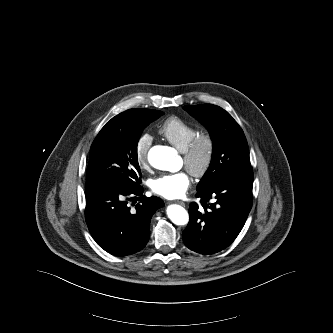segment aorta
I'll return each instance as SVG.
<instances>
[{
	"mask_svg": "<svg viewBox=\"0 0 333 333\" xmlns=\"http://www.w3.org/2000/svg\"><path fill=\"white\" fill-rule=\"evenodd\" d=\"M148 161L151 166L159 170L175 171L178 167L176 151L167 146L152 147L148 153ZM167 216L176 225H186L189 221L188 212L176 204L167 207Z\"/></svg>",
	"mask_w": 333,
	"mask_h": 333,
	"instance_id": "aorta-1",
	"label": "aorta"
}]
</instances>
